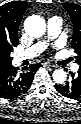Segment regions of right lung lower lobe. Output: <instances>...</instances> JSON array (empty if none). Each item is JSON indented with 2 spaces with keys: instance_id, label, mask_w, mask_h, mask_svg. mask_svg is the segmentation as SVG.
<instances>
[{
  "instance_id": "1",
  "label": "right lung lower lobe",
  "mask_w": 81,
  "mask_h": 124,
  "mask_svg": "<svg viewBox=\"0 0 81 124\" xmlns=\"http://www.w3.org/2000/svg\"><path fill=\"white\" fill-rule=\"evenodd\" d=\"M41 64H32L22 71L9 65L0 69V97L16 99L25 94L32 84L34 74Z\"/></svg>"
}]
</instances>
